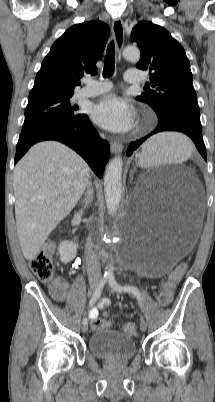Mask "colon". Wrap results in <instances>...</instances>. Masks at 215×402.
Returning a JSON list of instances; mask_svg holds the SVG:
<instances>
[{
	"mask_svg": "<svg viewBox=\"0 0 215 402\" xmlns=\"http://www.w3.org/2000/svg\"><path fill=\"white\" fill-rule=\"evenodd\" d=\"M52 244H47L41 252L30 261V268L33 273L44 283H51L54 279V266L51 258ZM186 269L185 264H180L172 272L170 279L164 284V288L160 291L159 303L166 306L170 303L173 296L174 283L177 282ZM52 295L56 299H61L63 290L59 284H54L52 287ZM93 328L98 330L107 326L105 321L96 319L92 324ZM124 332L130 336L137 335V326L128 322L123 327Z\"/></svg>",
	"mask_w": 215,
	"mask_h": 402,
	"instance_id": "obj_1",
	"label": "colon"
}]
</instances>
